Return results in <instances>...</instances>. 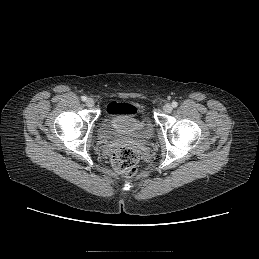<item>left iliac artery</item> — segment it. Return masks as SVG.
Here are the masks:
<instances>
[{
  "label": "left iliac artery",
  "instance_id": "1",
  "mask_svg": "<svg viewBox=\"0 0 259 259\" xmlns=\"http://www.w3.org/2000/svg\"><path fill=\"white\" fill-rule=\"evenodd\" d=\"M172 106L175 108L178 106V103L174 101V102H172Z\"/></svg>",
  "mask_w": 259,
  "mask_h": 259
}]
</instances>
